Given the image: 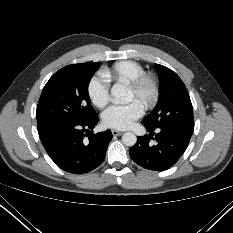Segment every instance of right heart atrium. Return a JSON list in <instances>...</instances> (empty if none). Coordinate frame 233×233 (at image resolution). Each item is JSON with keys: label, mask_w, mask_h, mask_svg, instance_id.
<instances>
[{"label": "right heart atrium", "mask_w": 233, "mask_h": 233, "mask_svg": "<svg viewBox=\"0 0 233 233\" xmlns=\"http://www.w3.org/2000/svg\"><path fill=\"white\" fill-rule=\"evenodd\" d=\"M87 93L92 104L97 108L103 109L111 100L110 83L99 73L90 79L87 86Z\"/></svg>", "instance_id": "1"}]
</instances>
